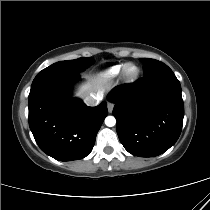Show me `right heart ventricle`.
Segmentation results:
<instances>
[{
    "mask_svg": "<svg viewBox=\"0 0 210 210\" xmlns=\"http://www.w3.org/2000/svg\"><path fill=\"white\" fill-rule=\"evenodd\" d=\"M123 67V64L112 66L111 68L106 70L104 76L109 79L116 78L122 72Z\"/></svg>",
    "mask_w": 210,
    "mask_h": 210,
    "instance_id": "obj_1",
    "label": "right heart ventricle"
}]
</instances>
